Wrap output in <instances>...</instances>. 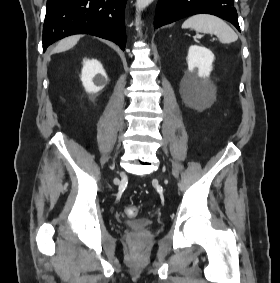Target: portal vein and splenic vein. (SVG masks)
Wrapping results in <instances>:
<instances>
[{
	"instance_id": "obj_1",
	"label": "portal vein and splenic vein",
	"mask_w": 280,
	"mask_h": 283,
	"mask_svg": "<svg viewBox=\"0 0 280 283\" xmlns=\"http://www.w3.org/2000/svg\"><path fill=\"white\" fill-rule=\"evenodd\" d=\"M197 37H198V38H201L202 36H201V35H197Z\"/></svg>"
}]
</instances>
